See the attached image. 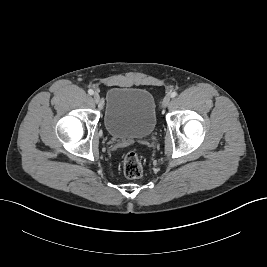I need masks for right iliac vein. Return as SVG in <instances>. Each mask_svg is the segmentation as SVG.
I'll return each instance as SVG.
<instances>
[{
  "label": "right iliac vein",
  "mask_w": 267,
  "mask_h": 267,
  "mask_svg": "<svg viewBox=\"0 0 267 267\" xmlns=\"http://www.w3.org/2000/svg\"><path fill=\"white\" fill-rule=\"evenodd\" d=\"M93 98H94V101H95L96 103H98V102L100 101V96H99L98 93H94Z\"/></svg>",
  "instance_id": "63e3f726"
}]
</instances>
